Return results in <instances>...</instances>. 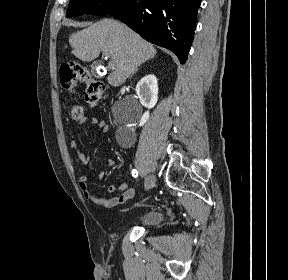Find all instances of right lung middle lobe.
Instances as JSON below:
<instances>
[{"mask_svg":"<svg viewBox=\"0 0 288 280\" xmlns=\"http://www.w3.org/2000/svg\"><path fill=\"white\" fill-rule=\"evenodd\" d=\"M126 0H70L66 16L73 17L81 14L104 16L108 11L121 5Z\"/></svg>","mask_w":288,"mask_h":280,"instance_id":"1","label":"right lung middle lobe"}]
</instances>
